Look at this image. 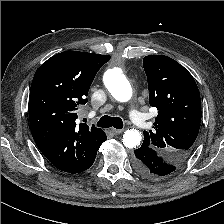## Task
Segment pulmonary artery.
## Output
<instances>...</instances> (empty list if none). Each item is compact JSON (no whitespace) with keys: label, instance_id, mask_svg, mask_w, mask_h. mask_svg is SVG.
I'll use <instances>...</instances> for the list:
<instances>
[{"label":"pulmonary artery","instance_id":"1","mask_svg":"<svg viewBox=\"0 0 224 224\" xmlns=\"http://www.w3.org/2000/svg\"><path fill=\"white\" fill-rule=\"evenodd\" d=\"M129 117L138 127L140 128L147 127V123L143 119L142 114L133 107H131L129 110Z\"/></svg>","mask_w":224,"mask_h":224}]
</instances>
